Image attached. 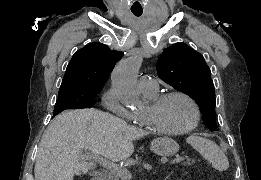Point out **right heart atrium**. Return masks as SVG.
<instances>
[{"label":"right heart atrium","mask_w":261,"mask_h":180,"mask_svg":"<svg viewBox=\"0 0 261 180\" xmlns=\"http://www.w3.org/2000/svg\"><path fill=\"white\" fill-rule=\"evenodd\" d=\"M102 105L104 108H110V112H116L118 117H125V120H132L131 114L125 108L119 106L118 98L113 88L107 90L102 96Z\"/></svg>","instance_id":"right-heart-atrium-1"}]
</instances>
